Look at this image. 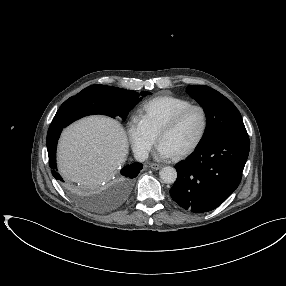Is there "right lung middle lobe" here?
Returning a JSON list of instances; mask_svg holds the SVG:
<instances>
[{
	"label": "right lung middle lobe",
	"mask_w": 286,
	"mask_h": 286,
	"mask_svg": "<svg viewBox=\"0 0 286 286\" xmlns=\"http://www.w3.org/2000/svg\"><path fill=\"white\" fill-rule=\"evenodd\" d=\"M148 94L151 93L143 91L139 94L117 87L91 85L67 99L58 109L52 122L66 127L81 117L93 114L107 115L112 118L120 116L125 120L128 112L142 99L139 97ZM131 184L132 182L128 187H124L121 181L122 198L128 194Z\"/></svg>",
	"instance_id": "dd1d6c3e"
}]
</instances>
